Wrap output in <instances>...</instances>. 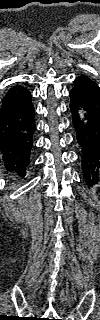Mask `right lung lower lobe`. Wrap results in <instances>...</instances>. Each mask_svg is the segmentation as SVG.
<instances>
[{
    "mask_svg": "<svg viewBox=\"0 0 100 320\" xmlns=\"http://www.w3.org/2000/svg\"><path fill=\"white\" fill-rule=\"evenodd\" d=\"M35 131L32 95L21 92L3 98L0 109V148L5 168L24 176L31 162Z\"/></svg>",
    "mask_w": 100,
    "mask_h": 320,
    "instance_id": "1",
    "label": "right lung lower lobe"
}]
</instances>
